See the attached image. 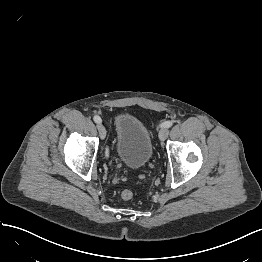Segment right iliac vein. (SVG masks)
<instances>
[{"label": "right iliac vein", "mask_w": 262, "mask_h": 262, "mask_svg": "<svg viewBox=\"0 0 262 262\" xmlns=\"http://www.w3.org/2000/svg\"><path fill=\"white\" fill-rule=\"evenodd\" d=\"M97 128H98L99 135H100L101 139H104L106 137V129H105L104 125L99 123Z\"/></svg>", "instance_id": "obj_1"}]
</instances>
